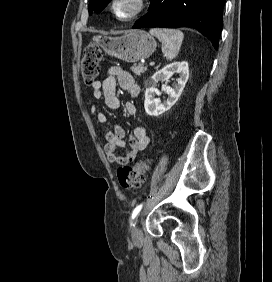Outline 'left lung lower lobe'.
Masks as SVG:
<instances>
[{"instance_id": "left-lung-lower-lobe-1", "label": "left lung lower lobe", "mask_w": 272, "mask_h": 282, "mask_svg": "<svg viewBox=\"0 0 272 282\" xmlns=\"http://www.w3.org/2000/svg\"><path fill=\"white\" fill-rule=\"evenodd\" d=\"M150 10L133 29L147 27L197 29L218 49L225 0H150Z\"/></svg>"}]
</instances>
